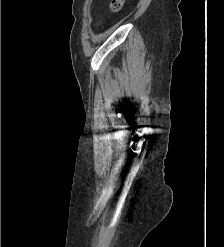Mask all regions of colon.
<instances>
[{
	"mask_svg": "<svg viewBox=\"0 0 224 247\" xmlns=\"http://www.w3.org/2000/svg\"><path fill=\"white\" fill-rule=\"evenodd\" d=\"M125 0H111L110 2V10L112 12H118L122 9Z\"/></svg>",
	"mask_w": 224,
	"mask_h": 247,
	"instance_id": "5ec220e1",
	"label": "colon"
}]
</instances>
